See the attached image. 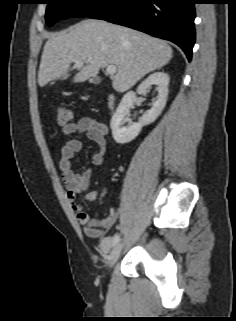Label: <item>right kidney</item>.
<instances>
[{"instance_id":"right-kidney-1","label":"right kidney","mask_w":236,"mask_h":321,"mask_svg":"<svg viewBox=\"0 0 236 321\" xmlns=\"http://www.w3.org/2000/svg\"><path fill=\"white\" fill-rule=\"evenodd\" d=\"M151 85L157 86V99L153 102L152 108L147 110L138 123H131L128 126H123L125 119L129 115V110L136 100V94L146 95L147 90ZM169 76L164 72H154L149 75L138 86L137 91H130L124 95L116 112L114 113L110 127L112 136L119 144H124L135 139L142 130V127L153 123L164 109L168 97Z\"/></svg>"}]
</instances>
